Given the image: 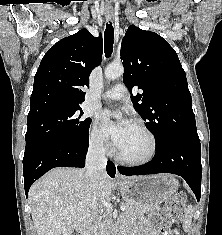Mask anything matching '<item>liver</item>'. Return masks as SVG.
Masks as SVG:
<instances>
[{
    "label": "liver",
    "instance_id": "obj_1",
    "mask_svg": "<svg viewBox=\"0 0 222 235\" xmlns=\"http://www.w3.org/2000/svg\"><path fill=\"white\" fill-rule=\"evenodd\" d=\"M113 186L105 171L99 185L93 189L85 169L59 167L50 170L29 190L37 235H71L93 215V197L96 201L108 200Z\"/></svg>",
    "mask_w": 222,
    "mask_h": 235
}]
</instances>
